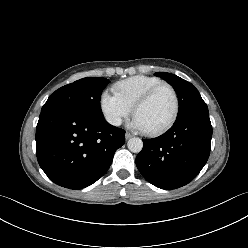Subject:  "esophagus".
Wrapping results in <instances>:
<instances>
[{
	"label": "esophagus",
	"mask_w": 248,
	"mask_h": 248,
	"mask_svg": "<svg viewBox=\"0 0 248 248\" xmlns=\"http://www.w3.org/2000/svg\"><path fill=\"white\" fill-rule=\"evenodd\" d=\"M132 136L133 135L131 133H129V132H126V134H125L126 140L130 139Z\"/></svg>",
	"instance_id": "1"
}]
</instances>
